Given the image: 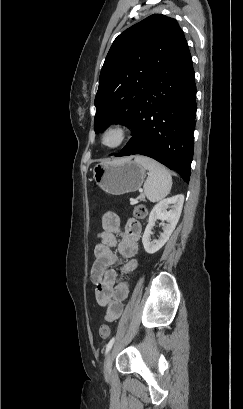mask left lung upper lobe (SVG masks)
<instances>
[{
    "label": "left lung upper lobe",
    "instance_id": "left-lung-upper-lobe-1",
    "mask_svg": "<svg viewBox=\"0 0 243 409\" xmlns=\"http://www.w3.org/2000/svg\"><path fill=\"white\" fill-rule=\"evenodd\" d=\"M184 40L177 21L161 14L145 18L114 40L95 97L96 133L112 123L130 127L152 80Z\"/></svg>",
    "mask_w": 243,
    "mask_h": 409
}]
</instances>
